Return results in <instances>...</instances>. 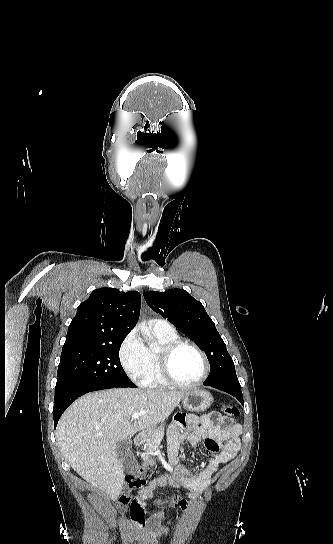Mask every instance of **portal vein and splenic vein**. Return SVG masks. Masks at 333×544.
Segmentation results:
<instances>
[{"mask_svg": "<svg viewBox=\"0 0 333 544\" xmlns=\"http://www.w3.org/2000/svg\"><path fill=\"white\" fill-rule=\"evenodd\" d=\"M142 413H134L132 416H131V420H134V419H137L141 416Z\"/></svg>", "mask_w": 333, "mask_h": 544, "instance_id": "1", "label": "portal vein and splenic vein"}]
</instances>
